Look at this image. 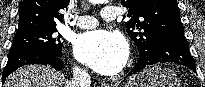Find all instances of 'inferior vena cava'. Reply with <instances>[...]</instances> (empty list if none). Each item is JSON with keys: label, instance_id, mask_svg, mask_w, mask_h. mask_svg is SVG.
<instances>
[{"label": "inferior vena cava", "instance_id": "inferior-vena-cava-1", "mask_svg": "<svg viewBox=\"0 0 205 87\" xmlns=\"http://www.w3.org/2000/svg\"><path fill=\"white\" fill-rule=\"evenodd\" d=\"M91 78L89 74L82 68H73V78L68 82V87H90Z\"/></svg>", "mask_w": 205, "mask_h": 87}]
</instances>
